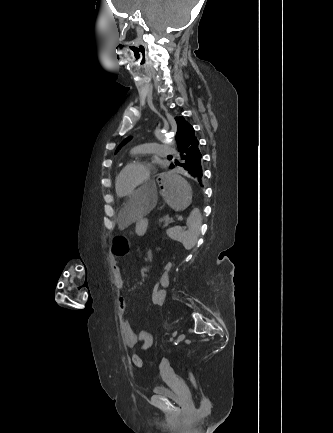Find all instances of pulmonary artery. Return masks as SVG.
Returning a JSON list of instances; mask_svg holds the SVG:
<instances>
[{"label":"pulmonary artery","mask_w":333,"mask_h":433,"mask_svg":"<svg viewBox=\"0 0 333 433\" xmlns=\"http://www.w3.org/2000/svg\"><path fill=\"white\" fill-rule=\"evenodd\" d=\"M174 150L168 145H159V144H145L134 148V153H155L158 155H167L172 153Z\"/></svg>","instance_id":"pulmonary-artery-1"}]
</instances>
